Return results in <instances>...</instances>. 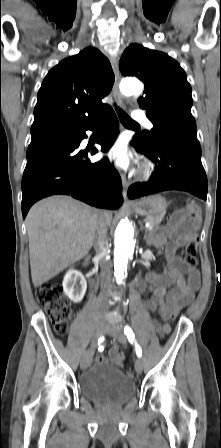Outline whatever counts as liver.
<instances>
[{"mask_svg": "<svg viewBox=\"0 0 221 448\" xmlns=\"http://www.w3.org/2000/svg\"><path fill=\"white\" fill-rule=\"evenodd\" d=\"M99 214L107 225L110 211H99L69 196H52L34 204L26 217L34 287L84 258L94 244Z\"/></svg>", "mask_w": 221, "mask_h": 448, "instance_id": "6515ba94", "label": "liver"}]
</instances>
